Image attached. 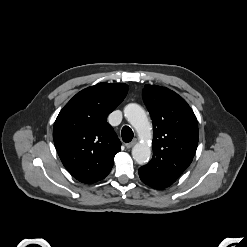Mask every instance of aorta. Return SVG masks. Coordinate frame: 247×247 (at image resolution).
I'll return each instance as SVG.
<instances>
[{
  "instance_id": "762f6f07",
  "label": "aorta",
  "mask_w": 247,
  "mask_h": 247,
  "mask_svg": "<svg viewBox=\"0 0 247 247\" xmlns=\"http://www.w3.org/2000/svg\"><path fill=\"white\" fill-rule=\"evenodd\" d=\"M124 116L135 128L141 140L151 138V124L145 110L136 103H130L124 108ZM151 156V147L146 142L140 141L132 149L133 159L140 165L147 163Z\"/></svg>"
}]
</instances>
